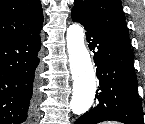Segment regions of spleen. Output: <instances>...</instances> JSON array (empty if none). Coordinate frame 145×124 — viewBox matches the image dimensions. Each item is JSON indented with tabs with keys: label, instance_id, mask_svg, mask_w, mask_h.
I'll return each instance as SVG.
<instances>
[{
	"label": "spleen",
	"instance_id": "spleen-1",
	"mask_svg": "<svg viewBox=\"0 0 145 124\" xmlns=\"http://www.w3.org/2000/svg\"><path fill=\"white\" fill-rule=\"evenodd\" d=\"M104 124H118L116 122H107V123H104Z\"/></svg>",
	"mask_w": 145,
	"mask_h": 124
}]
</instances>
